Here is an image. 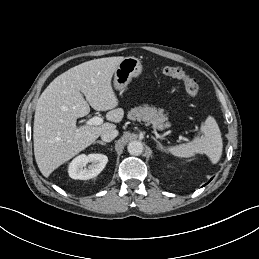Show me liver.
Returning <instances> with one entry per match:
<instances>
[{
	"mask_svg": "<svg viewBox=\"0 0 259 259\" xmlns=\"http://www.w3.org/2000/svg\"><path fill=\"white\" fill-rule=\"evenodd\" d=\"M124 57L90 60L56 77L38 99L33 127L34 155L43 176L90 146L113 123L82 125L76 120L90 112L110 110L106 119L118 123L124 116L111 80ZM86 97V100L83 97ZM90 105V106H89Z\"/></svg>",
	"mask_w": 259,
	"mask_h": 259,
	"instance_id": "obj_1",
	"label": "liver"
}]
</instances>
